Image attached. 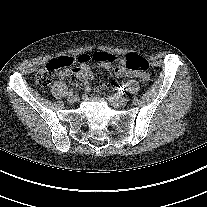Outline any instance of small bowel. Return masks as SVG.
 Listing matches in <instances>:
<instances>
[{
    "mask_svg": "<svg viewBox=\"0 0 207 207\" xmlns=\"http://www.w3.org/2000/svg\"><path fill=\"white\" fill-rule=\"evenodd\" d=\"M84 56L85 55H81L79 57V59L81 60V67L80 68H76L73 71L64 72L63 75H67V74L75 75L76 77H78L81 80L85 89L90 90V88H91L90 82L93 78V73H92L90 65L88 64V61H86L84 59ZM104 66L108 67L107 64H105ZM115 72H116L117 77H119V78H122V77L134 78L137 76L135 73L125 69L124 66L117 67L115 69ZM139 78L141 81H146L148 79V77L144 74L140 75ZM132 87H134V86H132Z\"/></svg>",
    "mask_w": 207,
    "mask_h": 207,
    "instance_id": "c3829d8e",
    "label": "small bowel"
}]
</instances>
